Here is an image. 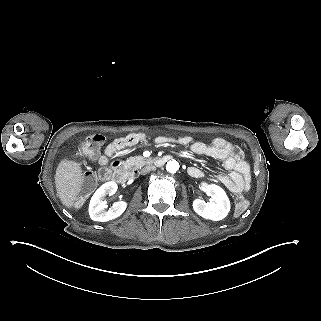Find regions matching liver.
Returning <instances> with one entry per match:
<instances>
[{
  "mask_svg": "<svg viewBox=\"0 0 321 321\" xmlns=\"http://www.w3.org/2000/svg\"><path fill=\"white\" fill-rule=\"evenodd\" d=\"M84 183L80 163L62 160L56 170L55 184L63 205L71 208L74 205Z\"/></svg>",
  "mask_w": 321,
  "mask_h": 321,
  "instance_id": "6515ba94",
  "label": "liver"
}]
</instances>
